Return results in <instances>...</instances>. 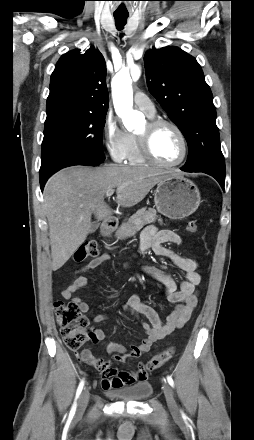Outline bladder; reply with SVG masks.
<instances>
[{"mask_svg":"<svg viewBox=\"0 0 254 440\" xmlns=\"http://www.w3.org/2000/svg\"><path fill=\"white\" fill-rule=\"evenodd\" d=\"M152 393V385L149 382H139L131 387L109 391L108 395L126 402L140 401L148 398Z\"/></svg>","mask_w":254,"mask_h":440,"instance_id":"obj_1","label":"bladder"}]
</instances>
